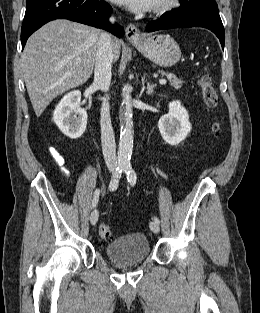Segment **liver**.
<instances>
[{
	"instance_id": "liver-1",
	"label": "liver",
	"mask_w": 260,
	"mask_h": 313,
	"mask_svg": "<svg viewBox=\"0 0 260 313\" xmlns=\"http://www.w3.org/2000/svg\"><path fill=\"white\" fill-rule=\"evenodd\" d=\"M101 32L65 19L51 21L31 35L21 55L26 88L37 117L58 95L84 84L93 72ZM113 60L121 43L112 40Z\"/></svg>"
}]
</instances>
